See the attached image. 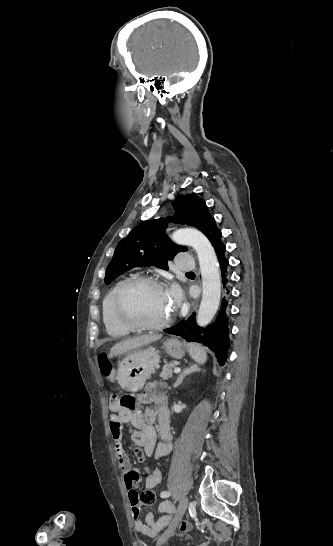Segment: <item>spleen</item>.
Here are the masks:
<instances>
[{
	"label": "spleen",
	"mask_w": 333,
	"mask_h": 546,
	"mask_svg": "<svg viewBox=\"0 0 333 546\" xmlns=\"http://www.w3.org/2000/svg\"><path fill=\"white\" fill-rule=\"evenodd\" d=\"M189 353L191 357L199 364H204L207 360L205 348L197 343L189 344Z\"/></svg>",
	"instance_id": "3e777b00"
}]
</instances>
